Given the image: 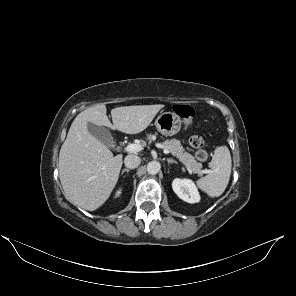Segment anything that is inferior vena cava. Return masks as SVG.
Instances as JSON below:
<instances>
[{"label": "inferior vena cava", "instance_id": "1", "mask_svg": "<svg viewBox=\"0 0 296 296\" xmlns=\"http://www.w3.org/2000/svg\"><path fill=\"white\" fill-rule=\"evenodd\" d=\"M141 159L137 155H127L124 159L125 166L130 169L137 168L140 165Z\"/></svg>", "mask_w": 296, "mask_h": 296}]
</instances>
